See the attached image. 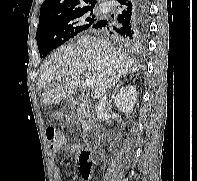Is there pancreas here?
<instances>
[{"label": "pancreas", "instance_id": "pancreas-1", "mask_svg": "<svg viewBox=\"0 0 197 181\" xmlns=\"http://www.w3.org/2000/svg\"><path fill=\"white\" fill-rule=\"evenodd\" d=\"M80 122H82L84 130H86L87 126H86V123H84L83 119H80Z\"/></svg>", "mask_w": 197, "mask_h": 181}]
</instances>
